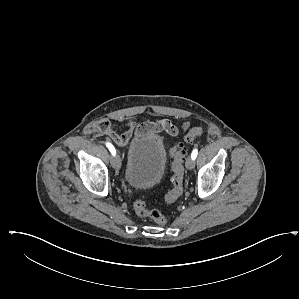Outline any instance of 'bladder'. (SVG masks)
Instances as JSON below:
<instances>
[{
	"label": "bladder",
	"mask_w": 299,
	"mask_h": 299,
	"mask_svg": "<svg viewBox=\"0 0 299 299\" xmlns=\"http://www.w3.org/2000/svg\"><path fill=\"white\" fill-rule=\"evenodd\" d=\"M166 167V148L158 134L135 138L127 149L125 180L134 189L157 185Z\"/></svg>",
	"instance_id": "bladder-1"
}]
</instances>
